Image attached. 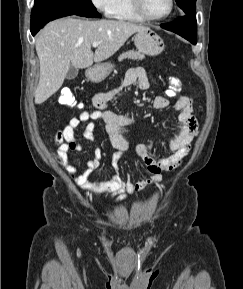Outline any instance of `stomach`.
Masks as SVG:
<instances>
[{
	"instance_id": "1",
	"label": "stomach",
	"mask_w": 243,
	"mask_h": 289,
	"mask_svg": "<svg viewBox=\"0 0 243 289\" xmlns=\"http://www.w3.org/2000/svg\"><path fill=\"white\" fill-rule=\"evenodd\" d=\"M134 43L140 52L150 56H156L164 49L163 40L150 28L138 31L134 36ZM112 69L111 63L97 64L86 71V76L93 82H100L110 74Z\"/></svg>"
}]
</instances>
